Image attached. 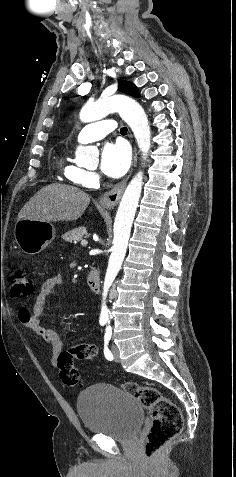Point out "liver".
Masks as SVG:
<instances>
[{
    "mask_svg": "<svg viewBox=\"0 0 236 477\" xmlns=\"http://www.w3.org/2000/svg\"><path fill=\"white\" fill-rule=\"evenodd\" d=\"M90 203L85 192L67 185L50 184L40 189L21 209L17 220L75 221Z\"/></svg>",
    "mask_w": 236,
    "mask_h": 477,
    "instance_id": "obj_1",
    "label": "liver"
}]
</instances>
